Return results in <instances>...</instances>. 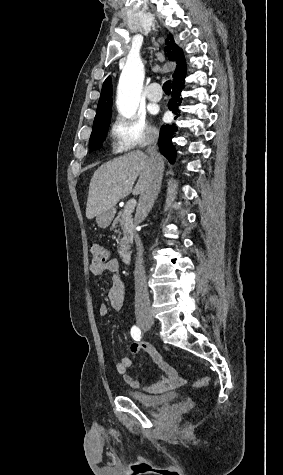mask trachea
Segmentation results:
<instances>
[{
  "label": "trachea",
  "mask_w": 283,
  "mask_h": 475,
  "mask_svg": "<svg viewBox=\"0 0 283 475\" xmlns=\"http://www.w3.org/2000/svg\"><path fill=\"white\" fill-rule=\"evenodd\" d=\"M163 90H164L165 93H170V91H171V80H167L163 84Z\"/></svg>",
  "instance_id": "obj_1"
}]
</instances>
